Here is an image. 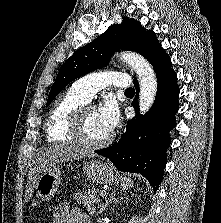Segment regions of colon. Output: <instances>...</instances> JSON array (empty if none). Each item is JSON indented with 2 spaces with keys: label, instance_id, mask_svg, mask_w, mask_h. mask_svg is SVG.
Returning <instances> with one entry per match:
<instances>
[{
  "label": "colon",
  "instance_id": "5ec220e1",
  "mask_svg": "<svg viewBox=\"0 0 221 223\" xmlns=\"http://www.w3.org/2000/svg\"><path fill=\"white\" fill-rule=\"evenodd\" d=\"M35 223H44V222H42L41 220H38V221H36Z\"/></svg>",
  "mask_w": 221,
  "mask_h": 223
}]
</instances>
